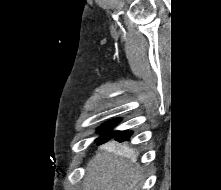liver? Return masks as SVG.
Segmentation results:
<instances>
[{
  "label": "liver",
  "instance_id": "liver-1",
  "mask_svg": "<svg viewBox=\"0 0 221 190\" xmlns=\"http://www.w3.org/2000/svg\"><path fill=\"white\" fill-rule=\"evenodd\" d=\"M126 151L109 145L87 164L84 190H138L141 173L132 161L124 158Z\"/></svg>",
  "mask_w": 221,
  "mask_h": 190
}]
</instances>
